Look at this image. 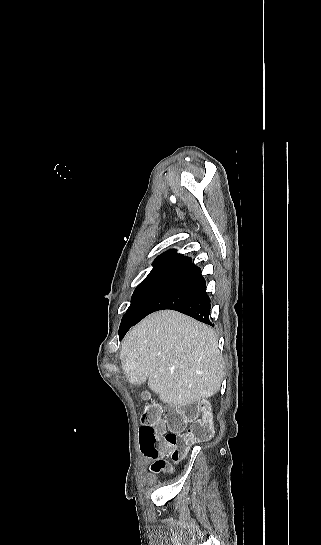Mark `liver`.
<instances>
[{
  "label": "liver",
  "mask_w": 321,
  "mask_h": 545,
  "mask_svg": "<svg viewBox=\"0 0 321 545\" xmlns=\"http://www.w3.org/2000/svg\"><path fill=\"white\" fill-rule=\"evenodd\" d=\"M120 361L131 385L148 381L170 407L213 397L225 371L213 329L176 311L152 313L130 329Z\"/></svg>",
  "instance_id": "obj_1"
}]
</instances>
